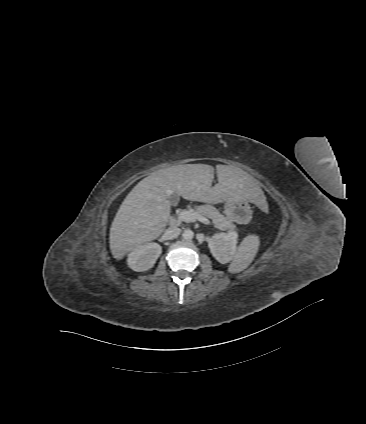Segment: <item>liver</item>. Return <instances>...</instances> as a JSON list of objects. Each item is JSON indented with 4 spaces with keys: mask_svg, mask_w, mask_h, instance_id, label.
Listing matches in <instances>:
<instances>
[{
    "mask_svg": "<svg viewBox=\"0 0 366 424\" xmlns=\"http://www.w3.org/2000/svg\"><path fill=\"white\" fill-rule=\"evenodd\" d=\"M218 183L211 187L214 168L205 164L172 166L141 180L122 202L110 228V250L117 260L145 242L158 238L170 217L169 198L217 204L248 200L260 204L262 190L245 171L217 165Z\"/></svg>",
    "mask_w": 366,
    "mask_h": 424,
    "instance_id": "1",
    "label": "liver"
}]
</instances>
